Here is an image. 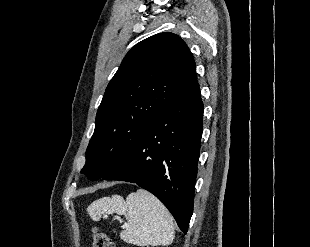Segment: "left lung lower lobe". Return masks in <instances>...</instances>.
<instances>
[{"mask_svg":"<svg viewBox=\"0 0 310 247\" xmlns=\"http://www.w3.org/2000/svg\"><path fill=\"white\" fill-rule=\"evenodd\" d=\"M203 109L196 81L150 125L128 157L102 177L136 183L154 194L185 234L193 213Z\"/></svg>","mask_w":310,"mask_h":247,"instance_id":"obj_1","label":"left lung lower lobe"}]
</instances>
